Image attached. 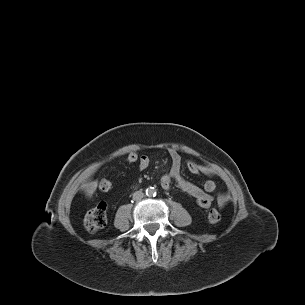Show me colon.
Wrapping results in <instances>:
<instances>
[{
    "instance_id": "5ec220e1",
    "label": "colon",
    "mask_w": 305,
    "mask_h": 305,
    "mask_svg": "<svg viewBox=\"0 0 305 305\" xmlns=\"http://www.w3.org/2000/svg\"><path fill=\"white\" fill-rule=\"evenodd\" d=\"M141 155L137 149H130L125 153V161L128 164H139ZM113 187L112 182L109 179H102L99 182V188L103 192L110 191ZM221 214L218 210L212 209L208 214V220L211 223L219 222ZM107 222V206L105 203H100L96 207L86 212L84 217L85 228L89 232H95L106 225Z\"/></svg>"
}]
</instances>
